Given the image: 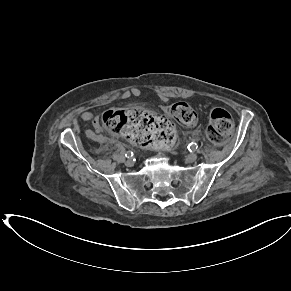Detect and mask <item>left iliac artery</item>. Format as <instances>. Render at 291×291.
Segmentation results:
<instances>
[{"label":"left iliac artery","mask_w":291,"mask_h":291,"mask_svg":"<svg viewBox=\"0 0 291 291\" xmlns=\"http://www.w3.org/2000/svg\"><path fill=\"white\" fill-rule=\"evenodd\" d=\"M197 148H198L197 143L192 142V143H190V144L188 145V150H189V151L196 150Z\"/></svg>","instance_id":"left-iliac-artery-1"}]
</instances>
